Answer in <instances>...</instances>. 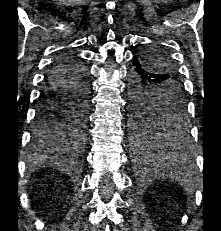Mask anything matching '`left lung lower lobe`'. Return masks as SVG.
<instances>
[{
    "label": "left lung lower lobe",
    "instance_id": "0a47b994",
    "mask_svg": "<svg viewBox=\"0 0 221 231\" xmlns=\"http://www.w3.org/2000/svg\"><path fill=\"white\" fill-rule=\"evenodd\" d=\"M129 80V111L136 113L145 108L149 102L145 99L149 93L160 92L161 86L158 84L163 77L150 72L142 57L133 58V66L130 71ZM156 100H153L155 102ZM178 133L176 135H159L144 142H136L139 148L149 149L157 153L154 162L178 163L183 157L190 153V142L184 122L175 124ZM134 136V135H133ZM158 162V163H157ZM161 162V163H159Z\"/></svg>",
    "mask_w": 221,
    "mask_h": 231
}]
</instances>
